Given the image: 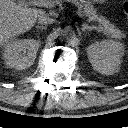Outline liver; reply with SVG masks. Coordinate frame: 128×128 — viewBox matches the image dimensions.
Listing matches in <instances>:
<instances>
[{
	"mask_svg": "<svg viewBox=\"0 0 128 128\" xmlns=\"http://www.w3.org/2000/svg\"><path fill=\"white\" fill-rule=\"evenodd\" d=\"M42 13L43 10L27 7L21 1L0 0V46L10 38L30 30Z\"/></svg>",
	"mask_w": 128,
	"mask_h": 128,
	"instance_id": "obj_1",
	"label": "liver"
}]
</instances>
